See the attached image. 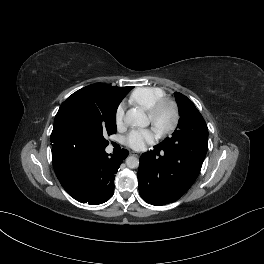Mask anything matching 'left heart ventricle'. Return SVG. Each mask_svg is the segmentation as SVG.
Listing matches in <instances>:
<instances>
[{
    "mask_svg": "<svg viewBox=\"0 0 264 264\" xmlns=\"http://www.w3.org/2000/svg\"><path fill=\"white\" fill-rule=\"evenodd\" d=\"M170 119H171L170 111L168 109H165L160 115L159 122L162 125H166L167 123H169Z\"/></svg>",
    "mask_w": 264,
    "mask_h": 264,
    "instance_id": "left-heart-ventricle-1",
    "label": "left heart ventricle"
}]
</instances>
